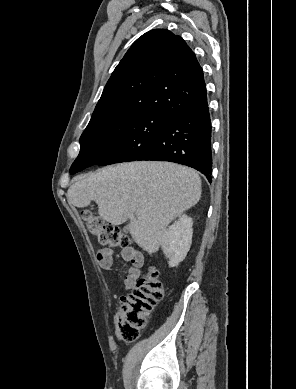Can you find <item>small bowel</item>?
Returning <instances> with one entry per match:
<instances>
[{
  "label": "small bowel",
  "mask_w": 296,
  "mask_h": 389,
  "mask_svg": "<svg viewBox=\"0 0 296 389\" xmlns=\"http://www.w3.org/2000/svg\"><path fill=\"white\" fill-rule=\"evenodd\" d=\"M120 257L124 262H129L131 264L127 276L120 284L123 290H128L135 286L137 279L140 277L144 257L133 247L123 248ZM97 260L104 270H111L114 266L113 253L110 249L100 250L97 253Z\"/></svg>",
  "instance_id": "small-bowel-1"
}]
</instances>
